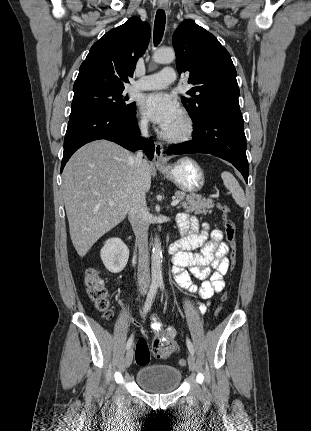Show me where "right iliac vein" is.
<instances>
[{
  "instance_id": "right-iliac-vein-1",
  "label": "right iliac vein",
  "mask_w": 311,
  "mask_h": 431,
  "mask_svg": "<svg viewBox=\"0 0 311 431\" xmlns=\"http://www.w3.org/2000/svg\"><path fill=\"white\" fill-rule=\"evenodd\" d=\"M132 360H133V349L130 348L127 351L126 356H125V365H126V367H129L131 365Z\"/></svg>"
}]
</instances>
